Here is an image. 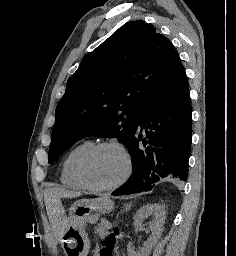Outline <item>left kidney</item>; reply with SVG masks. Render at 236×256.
<instances>
[{
    "instance_id": "5707ae66",
    "label": "left kidney",
    "mask_w": 236,
    "mask_h": 256,
    "mask_svg": "<svg viewBox=\"0 0 236 256\" xmlns=\"http://www.w3.org/2000/svg\"><path fill=\"white\" fill-rule=\"evenodd\" d=\"M165 212L164 204H147V206H143V208L138 210L137 214L134 216L135 228L142 226L144 218H148V216H155V220L153 224H149L151 236L148 238L147 242H144L142 250L136 252L132 242H129L127 246L128 256H149L152 248L156 246L160 236H162L163 224L166 216Z\"/></svg>"
}]
</instances>
